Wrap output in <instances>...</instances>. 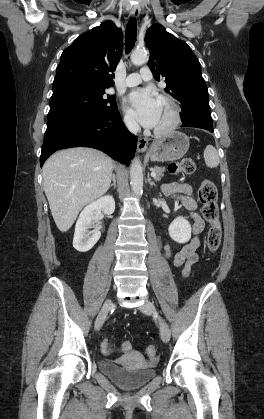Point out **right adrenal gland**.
<instances>
[{
  "instance_id": "obj_1",
  "label": "right adrenal gland",
  "mask_w": 264,
  "mask_h": 419,
  "mask_svg": "<svg viewBox=\"0 0 264 419\" xmlns=\"http://www.w3.org/2000/svg\"><path fill=\"white\" fill-rule=\"evenodd\" d=\"M112 181H113V183L110 185V187L116 188V176H115V174H113V176H112Z\"/></svg>"
}]
</instances>
